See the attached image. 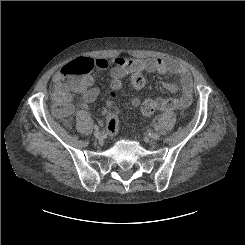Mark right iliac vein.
Instances as JSON below:
<instances>
[{"mask_svg":"<svg viewBox=\"0 0 245 245\" xmlns=\"http://www.w3.org/2000/svg\"><path fill=\"white\" fill-rule=\"evenodd\" d=\"M94 136H95L97 139H101V138H102V134H101V132H99V131H95V132H94Z\"/></svg>","mask_w":245,"mask_h":245,"instance_id":"obj_1","label":"right iliac vein"}]
</instances>
